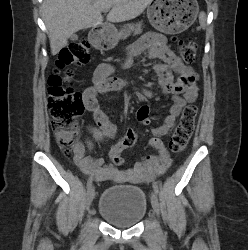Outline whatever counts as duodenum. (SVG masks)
<instances>
[{"mask_svg":"<svg viewBox=\"0 0 248 250\" xmlns=\"http://www.w3.org/2000/svg\"><path fill=\"white\" fill-rule=\"evenodd\" d=\"M99 27H103V25H100ZM99 37H101L100 34H97V33H96V34L93 35V38H95V39H97V38H99Z\"/></svg>","mask_w":248,"mask_h":250,"instance_id":"1","label":"duodenum"}]
</instances>
